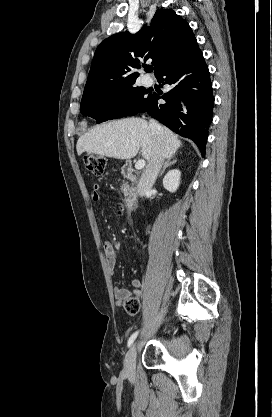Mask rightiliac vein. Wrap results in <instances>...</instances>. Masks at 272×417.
Instances as JSON below:
<instances>
[{
    "label": "right iliac vein",
    "mask_w": 272,
    "mask_h": 417,
    "mask_svg": "<svg viewBox=\"0 0 272 417\" xmlns=\"http://www.w3.org/2000/svg\"><path fill=\"white\" fill-rule=\"evenodd\" d=\"M136 348L137 345L136 343H134L127 352L125 357L124 371L128 376H133L135 373V361L137 354Z\"/></svg>",
    "instance_id": "right-iliac-vein-1"
}]
</instances>
